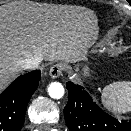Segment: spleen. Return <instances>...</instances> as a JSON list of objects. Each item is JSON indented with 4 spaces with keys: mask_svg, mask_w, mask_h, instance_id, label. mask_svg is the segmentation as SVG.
Here are the masks:
<instances>
[{
    "mask_svg": "<svg viewBox=\"0 0 131 131\" xmlns=\"http://www.w3.org/2000/svg\"><path fill=\"white\" fill-rule=\"evenodd\" d=\"M102 99L116 112L131 110V81H117L107 85L102 92Z\"/></svg>",
    "mask_w": 131,
    "mask_h": 131,
    "instance_id": "spleen-1",
    "label": "spleen"
}]
</instances>
